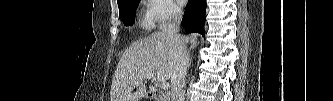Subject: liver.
<instances>
[{
    "mask_svg": "<svg viewBox=\"0 0 333 101\" xmlns=\"http://www.w3.org/2000/svg\"><path fill=\"white\" fill-rule=\"evenodd\" d=\"M185 46H197V35L181 36ZM174 56L163 32L152 33L138 40L123 53L111 84V101H140L147 95L145 82L148 74H155L157 80L164 82L174 71ZM139 86L135 93L132 90Z\"/></svg>",
    "mask_w": 333,
    "mask_h": 101,
    "instance_id": "obj_1",
    "label": "liver"
}]
</instances>
